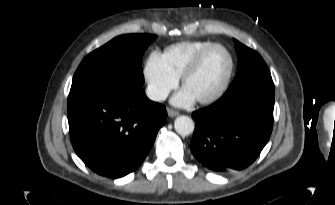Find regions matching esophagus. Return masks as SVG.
<instances>
[{
  "label": "esophagus",
  "instance_id": "esophagus-1",
  "mask_svg": "<svg viewBox=\"0 0 335 205\" xmlns=\"http://www.w3.org/2000/svg\"><path fill=\"white\" fill-rule=\"evenodd\" d=\"M168 116L169 117H176L179 115V112L173 109H168L167 110Z\"/></svg>",
  "mask_w": 335,
  "mask_h": 205
}]
</instances>
